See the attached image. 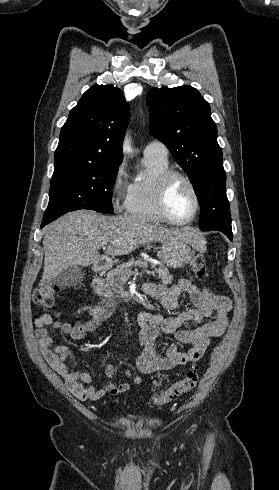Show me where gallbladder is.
Masks as SVG:
<instances>
[{
  "mask_svg": "<svg viewBox=\"0 0 279 490\" xmlns=\"http://www.w3.org/2000/svg\"><path fill=\"white\" fill-rule=\"evenodd\" d=\"M84 276L85 272L84 270H81V268H68V270H63L61 274L55 276L53 280L55 284L61 286V288H70V286H78V284H81Z\"/></svg>",
  "mask_w": 279,
  "mask_h": 490,
  "instance_id": "obj_1",
  "label": "gallbladder"
}]
</instances>
